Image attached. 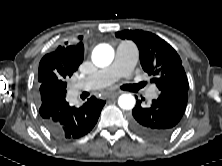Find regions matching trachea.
I'll return each instance as SVG.
<instances>
[{
    "instance_id": "1",
    "label": "trachea",
    "mask_w": 222,
    "mask_h": 166,
    "mask_svg": "<svg viewBox=\"0 0 222 166\" xmlns=\"http://www.w3.org/2000/svg\"><path fill=\"white\" fill-rule=\"evenodd\" d=\"M146 82H141L140 84L136 85L138 88H142L146 85Z\"/></svg>"
}]
</instances>
